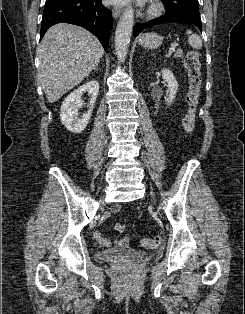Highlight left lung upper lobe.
Listing matches in <instances>:
<instances>
[{
	"instance_id": "obj_1",
	"label": "left lung upper lobe",
	"mask_w": 245,
	"mask_h": 314,
	"mask_svg": "<svg viewBox=\"0 0 245 314\" xmlns=\"http://www.w3.org/2000/svg\"><path fill=\"white\" fill-rule=\"evenodd\" d=\"M167 13H191L200 16L198 0H163Z\"/></svg>"
}]
</instances>
